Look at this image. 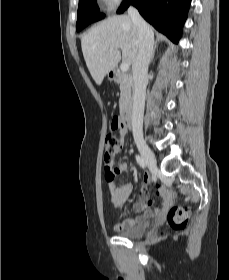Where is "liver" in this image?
Masks as SVG:
<instances>
[{
  "instance_id": "liver-1",
  "label": "liver",
  "mask_w": 229,
  "mask_h": 280,
  "mask_svg": "<svg viewBox=\"0 0 229 280\" xmlns=\"http://www.w3.org/2000/svg\"><path fill=\"white\" fill-rule=\"evenodd\" d=\"M81 47L92 78L101 85L121 59L134 62L139 49L138 30L129 15L111 16L82 36Z\"/></svg>"
}]
</instances>
